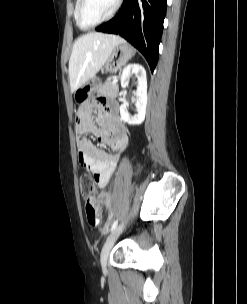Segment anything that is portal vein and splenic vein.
Masks as SVG:
<instances>
[{"label":"portal vein and splenic vein","instance_id":"portal-vein-and-splenic-vein-1","mask_svg":"<svg viewBox=\"0 0 247 304\" xmlns=\"http://www.w3.org/2000/svg\"><path fill=\"white\" fill-rule=\"evenodd\" d=\"M117 82H118L117 78L113 80V84H116Z\"/></svg>","mask_w":247,"mask_h":304}]
</instances>
